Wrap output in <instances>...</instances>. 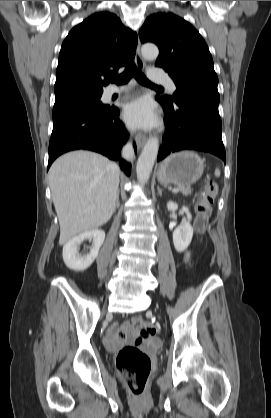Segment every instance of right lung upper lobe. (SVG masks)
I'll return each instance as SVG.
<instances>
[{
    "instance_id": "obj_1",
    "label": "right lung upper lobe",
    "mask_w": 271,
    "mask_h": 418,
    "mask_svg": "<svg viewBox=\"0 0 271 418\" xmlns=\"http://www.w3.org/2000/svg\"><path fill=\"white\" fill-rule=\"evenodd\" d=\"M136 44V33L113 13H95L75 26L59 53L55 102L102 94L110 73L134 60Z\"/></svg>"
}]
</instances>
